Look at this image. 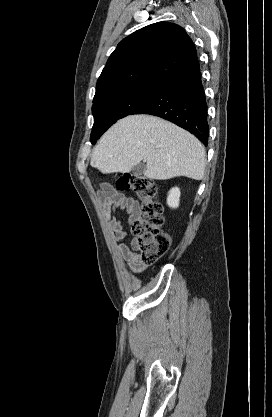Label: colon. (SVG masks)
Segmentation results:
<instances>
[{
	"label": "colon",
	"mask_w": 272,
	"mask_h": 417,
	"mask_svg": "<svg viewBox=\"0 0 272 417\" xmlns=\"http://www.w3.org/2000/svg\"><path fill=\"white\" fill-rule=\"evenodd\" d=\"M116 187L121 191H133L141 201L137 218L131 226L142 263L151 265L169 249L170 236L163 232V206L157 200L155 182L142 175L123 174L116 178Z\"/></svg>",
	"instance_id": "5ec220e1"
}]
</instances>
